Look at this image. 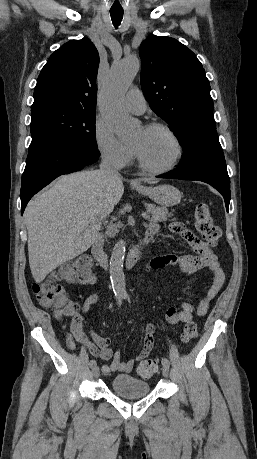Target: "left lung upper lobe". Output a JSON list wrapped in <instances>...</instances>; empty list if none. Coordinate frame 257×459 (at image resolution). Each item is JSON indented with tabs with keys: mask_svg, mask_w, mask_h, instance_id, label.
<instances>
[{
	"mask_svg": "<svg viewBox=\"0 0 257 459\" xmlns=\"http://www.w3.org/2000/svg\"><path fill=\"white\" fill-rule=\"evenodd\" d=\"M139 53L144 96L183 147L181 161H191L202 136L216 131L205 70L196 55L174 38L150 36Z\"/></svg>",
	"mask_w": 257,
	"mask_h": 459,
	"instance_id": "obj_1",
	"label": "left lung upper lobe"
}]
</instances>
